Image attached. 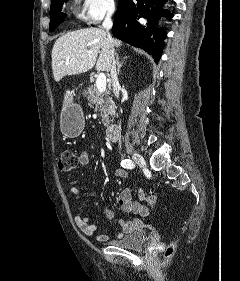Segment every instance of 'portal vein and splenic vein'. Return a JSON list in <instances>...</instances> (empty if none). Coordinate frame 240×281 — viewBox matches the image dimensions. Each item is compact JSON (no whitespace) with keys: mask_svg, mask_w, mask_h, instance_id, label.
Here are the masks:
<instances>
[{"mask_svg":"<svg viewBox=\"0 0 240 281\" xmlns=\"http://www.w3.org/2000/svg\"><path fill=\"white\" fill-rule=\"evenodd\" d=\"M96 87L99 93L106 91V75L104 73L98 75L96 79Z\"/></svg>","mask_w":240,"mask_h":281,"instance_id":"portal-vein-and-splenic-vein-1","label":"portal vein and splenic vein"}]
</instances>
